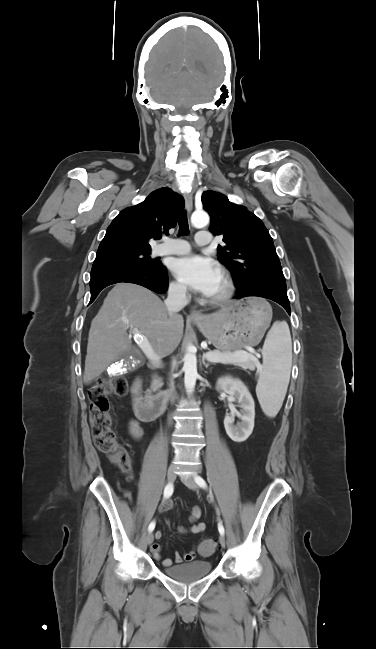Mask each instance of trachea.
<instances>
[{
  "mask_svg": "<svg viewBox=\"0 0 376 649\" xmlns=\"http://www.w3.org/2000/svg\"><path fill=\"white\" fill-rule=\"evenodd\" d=\"M179 233L180 235H187L189 233V225L186 212L181 213L179 217Z\"/></svg>",
  "mask_w": 376,
  "mask_h": 649,
  "instance_id": "trachea-1",
  "label": "trachea"
}]
</instances>
